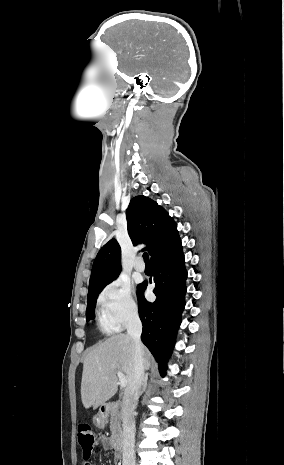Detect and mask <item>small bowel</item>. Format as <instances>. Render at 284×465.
Masks as SVG:
<instances>
[{
	"instance_id": "obj_1",
	"label": "small bowel",
	"mask_w": 284,
	"mask_h": 465,
	"mask_svg": "<svg viewBox=\"0 0 284 465\" xmlns=\"http://www.w3.org/2000/svg\"><path fill=\"white\" fill-rule=\"evenodd\" d=\"M95 446L99 447L102 446L103 448L107 449L109 448V440L106 435H101L97 438L95 441ZM114 458L116 459L118 457V454L116 452L113 453Z\"/></svg>"
}]
</instances>
